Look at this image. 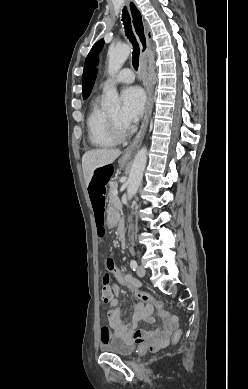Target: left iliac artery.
Instances as JSON below:
<instances>
[{"mask_svg": "<svg viewBox=\"0 0 248 389\" xmlns=\"http://www.w3.org/2000/svg\"><path fill=\"white\" fill-rule=\"evenodd\" d=\"M130 267L132 268L133 271H135L137 268V262L135 260H131Z\"/></svg>", "mask_w": 248, "mask_h": 389, "instance_id": "left-iliac-artery-1", "label": "left iliac artery"}]
</instances>
